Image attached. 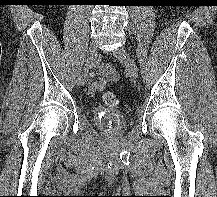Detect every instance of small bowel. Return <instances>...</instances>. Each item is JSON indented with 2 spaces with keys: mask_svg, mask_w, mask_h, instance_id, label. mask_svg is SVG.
I'll return each mask as SVG.
<instances>
[{
  "mask_svg": "<svg viewBox=\"0 0 217 197\" xmlns=\"http://www.w3.org/2000/svg\"><path fill=\"white\" fill-rule=\"evenodd\" d=\"M118 74L109 64H101L98 70V79L89 87V94L94 95L97 92L103 91L109 82L116 81Z\"/></svg>",
  "mask_w": 217,
  "mask_h": 197,
  "instance_id": "small-bowel-1",
  "label": "small bowel"
}]
</instances>
